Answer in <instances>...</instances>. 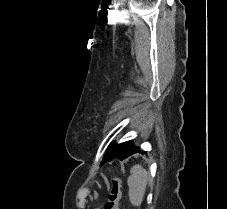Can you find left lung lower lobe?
<instances>
[{
    "label": "left lung lower lobe",
    "instance_id": "left-lung-lower-lobe-1",
    "mask_svg": "<svg viewBox=\"0 0 227 209\" xmlns=\"http://www.w3.org/2000/svg\"><path fill=\"white\" fill-rule=\"evenodd\" d=\"M136 152H139V153H146V152H144V151L139 150V147L132 145V148H131L128 152H126V153L122 156V158H121L120 160H123V159H125V158L131 156L132 154H134V153H136Z\"/></svg>",
    "mask_w": 227,
    "mask_h": 209
}]
</instances>
